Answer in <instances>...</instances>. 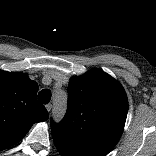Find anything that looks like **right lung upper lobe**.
Wrapping results in <instances>:
<instances>
[{"mask_svg":"<svg viewBox=\"0 0 156 156\" xmlns=\"http://www.w3.org/2000/svg\"><path fill=\"white\" fill-rule=\"evenodd\" d=\"M37 91L38 84L26 74L0 71V150L20 141L34 123L48 119Z\"/></svg>","mask_w":156,"mask_h":156,"instance_id":"obj_1","label":"right lung upper lobe"}]
</instances>
